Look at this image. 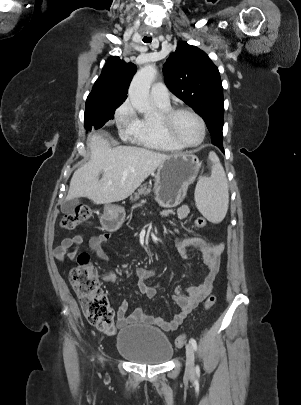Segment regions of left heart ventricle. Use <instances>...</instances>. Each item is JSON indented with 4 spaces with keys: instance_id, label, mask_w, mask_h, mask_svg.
Returning <instances> with one entry per match:
<instances>
[{
    "instance_id": "obj_1",
    "label": "left heart ventricle",
    "mask_w": 301,
    "mask_h": 405,
    "mask_svg": "<svg viewBox=\"0 0 301 405\" xmlns=\"http://www.w3.org/2000/svg\"><path fill=\"white\" fill-rule=\"evenodd\" d=\"M177 136L187 144H194L201 137V127L197 119L189 113L179 114L174 123Z\"/></svg>"
}]
</instances>
